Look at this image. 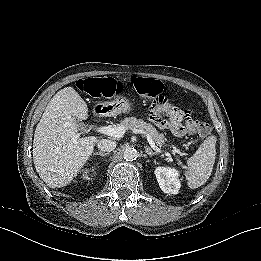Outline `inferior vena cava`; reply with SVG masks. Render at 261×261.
<instances>
[{
  "label": "inferior vena cava",
  "instance_id": "inferior-vena-cava-1",
  "mask_svg": "<svg viewBox=\"0 0 261 261\" xmlns=\"http://www.w3.org/2000/svg\"><path fill=\"white\" fill-rule=\"evenodd\" d=\"M97 147L103 152H111L115 149L116 143L108 139H101L97 143Z\"/></svg>",
  "mask_w": 261,
  "mask_h": 261
}]
</instances>
